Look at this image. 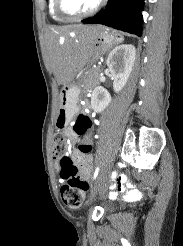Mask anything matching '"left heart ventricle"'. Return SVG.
Masks as SVG:
<instances>
[{"label": "left heart ventricle", "instance_id": "1", "mask_svg": "<svg viewBox=\"0 0 183 246\" xmlns=\"http://www.w3.org/2000/svg\"><path fill=\"white\" fill-rule=\"evenodd\" d=\"M98 0H63L64 8L72 14H80L91 9Z\"/></svg>", "mask_w": 183, "mask_h": 246}]
</instances>
